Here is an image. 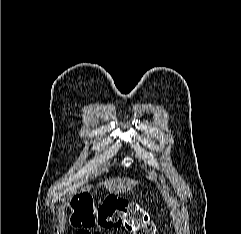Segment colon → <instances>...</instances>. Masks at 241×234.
<instances>
[{
	"instance_id": "obj_1",
	"label": "colon",
	"mask_w": 241,
	"mask_h": 234,
	"mask_svg": "<svg viewBox=\"0 0 241 234\" xmlns=\"http://www.w3.org/2000/svg\"><path fill=\"white\" fill-rule=\"evenodd\" d=\"M72 206V222L75 226H122L131 234H154L155 231V226L144 209L114 197H107L96 206L91 196L80 195L72 200Z\"/></svg>"
}]
</instances>
